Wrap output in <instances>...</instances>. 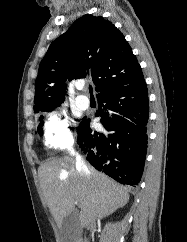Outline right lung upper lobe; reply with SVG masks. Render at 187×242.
Here are the masks:
<instances>
[{
  "instance_id": "obj_1",
  "label": "right lung upper lobe",
  "mask_w": 187,
  "mask_h": 242,
  "mask_svg": "<svg viewBox=\"0 0 187 242\" xmlns=\"http://www.w3.org/2000/svg\"><path fill=\"white\" fill-rule=\"evenodd\" d=\"M143 75L124 35L101 16L84 15L51 43L35 82L34 111L43 113L65 100L66 82L90 77L98 92Z\"/></svg>"
}]
</instances>
